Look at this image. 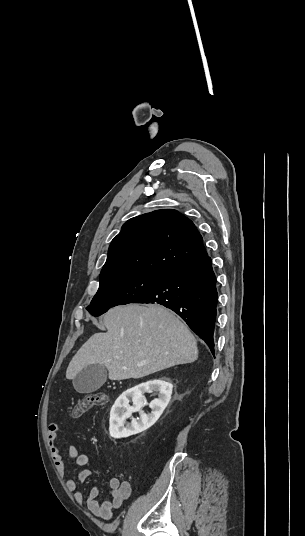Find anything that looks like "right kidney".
<instances>
[{"label": "right kidney", "instance_id": "obj_1", "mask_svg": "<svg viewBox=\"0 0 305 536\" xmlns=\"http://www.w3.org/2000/svg\"><path fill=\"white\" fill-rule=\"evenodd\" d=\"M172 384L168 382L167 378H158V380H150L145 384H139L135 388H130L129 394H122L116 400L111 412H110V436L112 438H128V436H134L139 432H144L151 428L161 414H163L166 406H168L171 400ZM145 392H159L158 398L152 400L149 404L151 408V414H143L140 412V420H132L131 424H126L127 418H130L133 412H139L141 406H143V394ZM127 396H131L134 400H137L134 406H129V400ZM127 410V412H124Z\"/></svg>", "mask_w": 305, "mask_h": 536}]
</instances>
